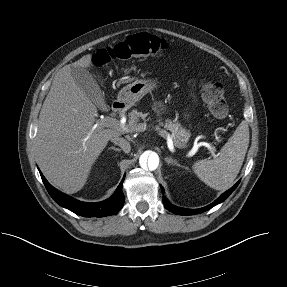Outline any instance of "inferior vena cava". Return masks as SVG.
<instances>
[{"instance_id":"inferior-vena-cava-1","label":"inferior vena cava","mask_w":287,"mask_h":287,"mask_svg":"<svg viewBox=\"0 0 287 287\" xmlns=\"http://www.w3.org/2000/svg\"><path fill=\"white\" fill-rule=\"evenodd\" d=\"M111 141L118 145L119 147L122 148V150L125 152V153H129L130 150H131V146H130V143L124 139V138H120V137H113L111 138Z\"/></svg>"}]
</instances>
